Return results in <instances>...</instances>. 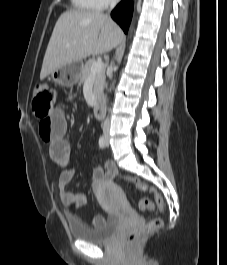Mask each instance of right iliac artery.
Listing matches in <instances>:
<instances>
[{
	"mask_svg": "<svg viewBox=\"0 0 227 265\" xmlns=\"http://www.w3.org/2000/svg\"><path fill=\"white\" fill-rule=\"evenodd\" d=\"M105 145H106V142H105V138H104V136H101L100 138H99V146H100V148H105Z\"/></svg>",
	"mask_w": 227,
	"mask_h": 265,
	"instance_id": "1",
	"label": "right iliac artery"
}]
</instances>
